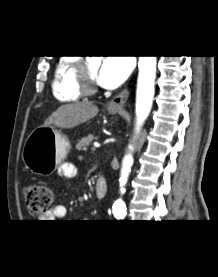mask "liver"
Returning a JSON list of instances; mask_svg holds the SVG:
<instances>
[{
    "label": "liver",
    "mask_w": 218,
    "mask_h": 277,
    "mask_svg": "<svg viewBox=\"0 0 218 277\" xmlns=\"http://www.w3.org/2000/svg\"><path fill=\"white\" fill-rule=\"evenodd\" d=\"M98 112V107L88 101L64 104L45 120L42 127L55 125L61 128H74L95 117Z\"/></svg>",
    "instance_id": "6515ba94"
}]
</instances>
